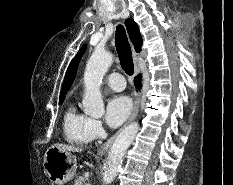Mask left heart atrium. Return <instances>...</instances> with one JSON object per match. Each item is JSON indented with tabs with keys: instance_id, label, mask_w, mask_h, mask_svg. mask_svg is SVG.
<instances>
[{
	"instance_id": "obj_1",
	"label": "left heart atrium",
	"mask_w": 233,
	"mask_h": 185,
	"mask_svg": "<svg viewBox=\"0 0 233 185\" xmlns=\"http://www.w3.org/2000/svg\"><path fill=\"white\" fill-rule=\"evenodd\" d=\"M131 101L127 96H113L107 103L105 120L110 127L121 125L131 112Z\"/></svg>"
}]
</instances>
